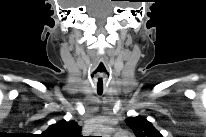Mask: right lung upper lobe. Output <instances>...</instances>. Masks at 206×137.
Listing matches in <instances>:
<instances>
[{
    "instance_id": "right-lung-upper-lobe-1",
    "label": "right lung upper lobe",
    "mask_w": 206,
    "mask_h": 137,
    "mask_svg": "<svg viewBox=\"0 0 206 137\" xmlns=\"http://www.w3.org/2000/svg\"><path fill=\"white\" fill-rule=\"evenodd\" d=\"M81 127L74 121H59L49 126L43 132L46 137H77L80 134Z\"/></svg>"
}]
</instances>
